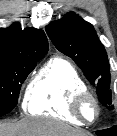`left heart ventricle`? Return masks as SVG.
Segmentation results:
<instances>
[{"label": "left heart ventricle", "instance_id": "obj_1", "mask_svg": "<svg viewBox=\"0 0 117 136\" xmlns=\"http://www.w3.org/2000/svg\"><path fill=\"white\" fill-rule=\"evenodd\" d=\"M86 116L91 119L94 116V108L92 105H86L84 108Z\"/></svg>", "mask_w": 117, "mask_h": 136}]
</instances>
